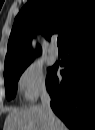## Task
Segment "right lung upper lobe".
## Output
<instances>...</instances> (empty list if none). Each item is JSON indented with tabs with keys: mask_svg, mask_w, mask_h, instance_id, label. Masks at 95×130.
I'll return each mask as SVG.
<instances>
[{
	"mask_svg": "<svg viewBox=\"0 0 95 130\" xmlns=\"http://www.w3.org/2000/svg\"><path fill=\"white\" fill-rule=\"evenodd\" d=\"M93 29L95 0H30L15 18L4 70L29 64L40 53V47L33 52L30 46L39 31L47 39L58 33L65 45Z\"/></svg>",
	"mask_w": 95,
	"mask_h": 130,
	"instance_id": "obj_1",
	"label": "right lung upper lobe"
}]
</instances>
